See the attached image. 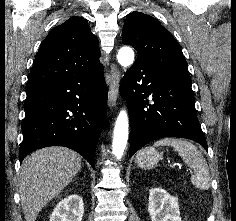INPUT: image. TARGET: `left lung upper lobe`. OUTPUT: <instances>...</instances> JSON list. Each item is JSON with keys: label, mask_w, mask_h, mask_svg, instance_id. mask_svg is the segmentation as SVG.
Here are the masks:
<instances>
[{"label": "left lung upper lobe", "mask_w": 236, "mask_h": 221, "mask_svg": "<svg viewBox=\"0 0 236 221\" xmlns=\"http://www.w3.org/2000/svg\"><path fill=\"white\" fill-rule=\"evenodd\" d=\"M122 40L136 49L137 60L190 78L179 43L154 17L141 12L130 13L124 23Z\"/></svg>", "instance_id": "5c2ea615"}]
</instances>
